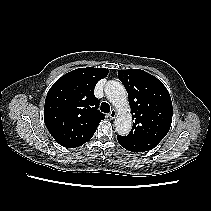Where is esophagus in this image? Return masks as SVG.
Instances as JSON below:
<instances>
[{
  "label": "esophagus",
  "mask_w": 211,
  "mask_h": 211,
  "mask_svg": "<svg viewBox=\"0 0 211 211\" xmlns=\"http://www.w3.org/2000/svg\"><path fill=\"white\" fill-rule=\"evenodd\" d=\"M108 115H109L110 119H114L117 115V112L115 109H112Z\"/></svg>",
  "instance_id": "obj_1"
}]
</instances>
